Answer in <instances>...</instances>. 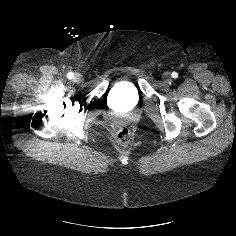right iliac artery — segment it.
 <instances>
[{
    "label": "right iliac artery",
    "instance_id": "1",
    "mask_svg": "<svg viewBox=\"0 0 236 236\" xmlns=\"http://www.w3.org/2000/svg\"><path fill=\"white\" fill-rule=\"evenodd\" d=\"M74 76V74L72 73V72H70L69 74H68V77L69 78H72Z\"/></svg>",
    "mask_w": 236,
    "mask_h": 236
}]
</instances>
